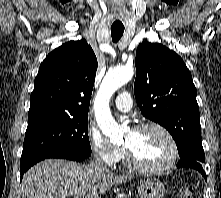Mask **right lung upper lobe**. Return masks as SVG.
I'll use <instances>...</instances> for the list:
<instances>
[{"label":"right lung upper lobe","mask_w":221,"mask_h":198,"mask_svg":"<svg viewBox=\"0 0 221 198\" xmlns=\"http://www.w3.org/2000/svg\"><path fill=\"white\" fill-rule=\"evenodd\" d=\"M97 66L96 56L84 39L67 42L48 54L35 78L29 122L88 116Z\"/></svg>","instance_id":"obj_1"}]
</instances>
